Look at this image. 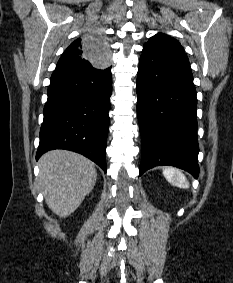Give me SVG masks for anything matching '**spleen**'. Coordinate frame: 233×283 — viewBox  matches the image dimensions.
Instances as JSON below:
<instances>
[{
  "label": "spleen",
  "mask_w": 233,
  "mask_h": 283,
  "mask_svg": "<svg viewBox=\"0 0 233 283\" xmlns=\"http://www.w3.org/2000/svg\"><path fill=\"white\" fill-rule=\"evenodd\" d=\"M163 175L173 186L183 189H187L189 187V182L186 179V176L176 168L167 167L163 169Z\"/></svg>",
  "instance_id": "3e777b00"
}]
</instances>
